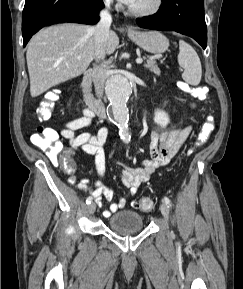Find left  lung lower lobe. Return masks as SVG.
<instances>
[{"mask_svg": "<svg viewBox=\"0 0 243 289\" xmlns=\"http://www.w3.org/2000/svg\"><path fill=\"white\" fill-rule=\"evenodd\" d=\"M137 24L153 30H171L194 38L203 49L207 46L204 0H162L154 15L139 18Z\"/></svg>", "mask_w": 243, "mask_h": 289, "instance_id": "1", "label": "left lung lower lobe"}]
</instances>
